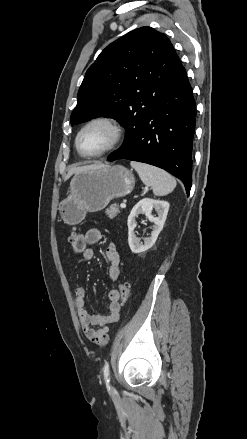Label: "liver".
I'll return each mask as SVG.
<instances>
[{
    "instance_id": "liver-1",
    "label": "liver",
    "mask_w": 247,
    "mask_h": 439,
    "mask_svg": "<svg viewBox=\"0 0 247 439\" xmlns=\"http://www.w3.org/2000/svg\"><path fill=\"white\" fill-rule=\"evenodd\" d=\"M103 166H105V165H103L101 163H96V164H91V165H87V166L71 168L68 171V173H67V175L65 177V180L69 179L73 174H78V173H81V172L93 170V169L100 168V167H103Z\"/></svg>"
}]
</instances>
